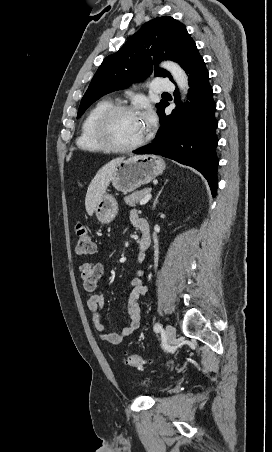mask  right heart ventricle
<instances>
[{
    "instance_id": "e07e8e85",
    "label": "right heart ventricle",
    "mask_w": 272,
    "mask_h": 452,
    "mask_svg": "<svg viewBox=\"0 0 272 452\" xmlns=\"http://www.w3.org/2000/svg\"><path fill=\"white\" fill-rule=\"evenodd\" d=\"M112 105H114V102L111 99H101L90 108L81 124L79 136L76 141L80 149L89 152H102L107 150L95 134V122L100 113Z\"/></svg>"
}]
</instances>
